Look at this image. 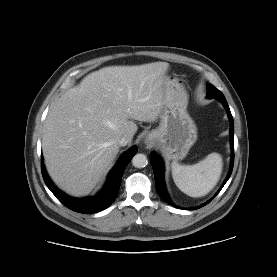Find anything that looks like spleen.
Wrapping results in <instances>:
<instances>
[{
    "mask_svg": "<svg viewBox=\"0 0 277 277\" xmlns=\"http://www.w3.org/2000/svg\"><path fill=\"white\" fill-rule=\"evenodd\" d=\"M222 167V157L215 152L194 165H180L176 161L171 164L174 183L191 197L208 194L218 183Z\"/></svg>",
    "mask_w": 277,
    "mask_h": 277,
    "instance_id": "3e777b00",
    "label": "spleen"
}]
</instances>
